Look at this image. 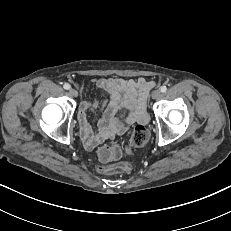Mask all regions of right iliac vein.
<instances>
[{"label":"right iliac vein","instance_id":"obj_1","mask_svg":"<svg viewBox=\"0 0 231 231\" xmlns=\"http://www.w3.org/2000/svg\"><path fill=\"white\" fill-rule=\"evenodd\" d=\"M69 93H70L71 96H73V97H77V96H78L77 90H75V89H73V88H71V89L69 90Z\"/></svg>","mask_w":231,"mask_h":231}]
</instances>
